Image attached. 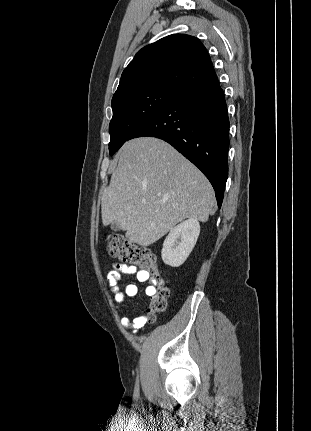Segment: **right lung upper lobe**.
I'll return each instance as SVG.
<instances>
[{"instance_id": "1", "label": "right lung upper lobe", "mask_w": 311, "mask_h": 431, "mask_svg": "<svg viewBox=\"0 0 311 431\" xmlns=\"http://www.w3.org/2000/svg\"><path fill=\"white\" fill-rule=\"evenodd\" d=\"M217 79L210 56L195 37L173 34L138 51L114 96L139 89L182 93Z\"/></svg>"}]
</instances>
